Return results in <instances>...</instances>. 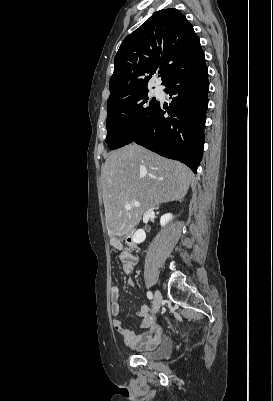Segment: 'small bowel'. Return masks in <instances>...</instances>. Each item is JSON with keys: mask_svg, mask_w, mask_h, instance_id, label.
<instances>
[{"mask_svg": "<svg viewBox=\"0 0 273 401\" xmlns=\"http://www.w3.org/2000/svg\"><path fill=\"white\" fill-rule=\"evenodd\" d=\"M113 247L118 252L119 260L122 264V270L126 274H131L137 264V257L133 252L125 247L120 241H114ZM130 286L134 285L133 280H129ZM111 313L115 317L113 328L119 334L124 342L134 348L145 351L155 349L163 339L162 328L158 319L149 314V306L144 304L136 312L140 322L135 329L126 328L122 323V307L120 304V288L118 285H112L110 288ZM187 322V321H186Z\"/></svg>", "mask_w": 273, "mask_h": 401, "instance_id": "obj_1", "label": "small bowel"}]
</instances>
